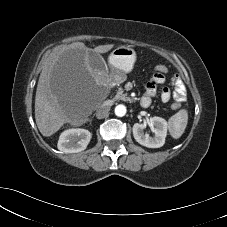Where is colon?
<instances>
[{"label": "colon", "mask_w": 227, "mask_h": 227, "mask_svg": "<svg viewBox=\"0 0 227 227\" xmlns=\"http://www.w3.org/2000/svg\"><path fill=\"white\" fill-rule=\"evenodd\" d=\"M167 67L165 65H157L154 69V72H157V73H166L167 72ZM173 109H178L180 107V104L179 103H174L172 105Z\"/></svg>", "instance_id": "obj_1"}]
</instances>
